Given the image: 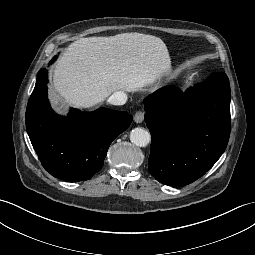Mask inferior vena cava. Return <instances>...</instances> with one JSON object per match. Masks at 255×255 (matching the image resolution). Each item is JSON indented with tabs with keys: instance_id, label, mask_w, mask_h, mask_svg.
I'll return each instance as SVG.
<instances>
[{
	"instance_id": "inferior-vena-cava-1",
	"label": "inferior vena cava",
	"mask_w": 255,
	"mask_h": 255,
	"mask_svg": "<svg viewBox=\"0 0 255 255\" xmlns=\"http://www.w3.org/2000/svg\"><path fill=\"white\" fill-rule=\"evenodd\" d=\"M107 101L112 105H123L127 101V94L124 91H116L108 98Z\"/></svg>"
}]
</instances>
